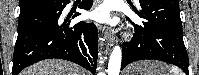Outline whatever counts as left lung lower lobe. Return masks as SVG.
Instances as JSON below:
<instances>
[{
    "label": "left lung lower lobe",
    "instance_id": "1",
    "mask_svg": "<svg viewBox=\"0 0 199 75\" xmlns=\"http://www.w3.org/2000/svg\"><path fill=\"white\" fill-rule=\"evenodd\" d=\"M140 6L137 14L146 21L135 26L130 42L123 43L121 70L132 62L153 59L176 65L189 75L179 0H142Z\"/></svg>",
    "mask_w": 199,
    "mask_h": 75
}]
</instances>
